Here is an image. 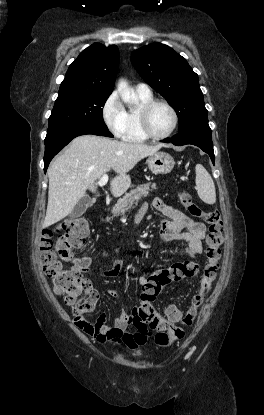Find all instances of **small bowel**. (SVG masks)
<instances>
[{
    "label": "small bowel",
    "mask_w": 264,
    "mask_h": 415,
    "mask_svg": "<svg viewBox=\"0 0 264 415\" xmlns=\"http://www.w3.org/2000/svg\"><path fill=\"white\" fill-rule=\"evenodd\" d=\"M154 208L168 219H162L159 221L160 236L162 243L168 245L172 242L181 241L185 243L184 254L186 257L193 259L203 250L202 241L205 238L206 227L200 222H194L185 216L182 212L172 208L164 203L160 198H155L152 202ZM144 209H140L137 213L134 222L140 221ZM93 269V263L88 262L85 266V271H91ZM123 270V259L119 257L114 262V265L110 268H103L99 270V274L106 279H114L120 276ZM151 279L145 273L141 274L138 278V283L142 290L145 289L146 283ZM109 294L119 299L120 295L114 290L109 289ZM138 309H135L132 314H126L122 312L114 325H108L107 313H102L97 321L93 324V329H84L86 333L95 337L99 342L104 341H119L130 348L136 350L142 346L146 337L143 336L141 341L135 340L137 333H130L128 327L133 321Z\"/></svg>",
    "instance_id": "c3829d8e"
}]
</instances>
